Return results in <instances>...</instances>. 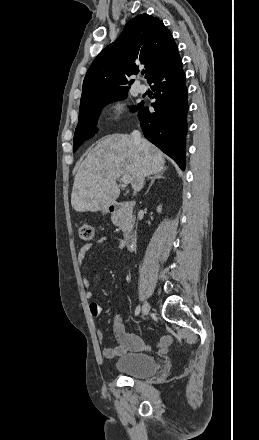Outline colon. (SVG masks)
<instances>
[{
	"mask_svg": "<svg viewBox=\"0 0 259 440\" xmlns=\"http://www.w3.org/2000/svg\"><path fill=\"white\" fill-rule=\"evenodd\" d=\"M79 238L83 242L93 241L95 238V229L92 224L83 222L78 229Z\"/></svg>",
	"mask_w": 259,
	"mask_h": 440,
	"instance_id": "5ec220e1",
	"label": "colon"
}]
</instances>
